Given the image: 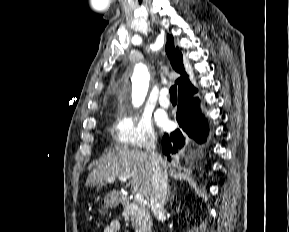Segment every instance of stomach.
Returning a JSON list of instances; mask_svg holds the SVG:
<instances>
[{
	"label": "stomach",
	"mask_w": 289,
	"mask_h": 232,
	"mask_svg": "<svg viewBox=\"0 0 289 232\" xmlns=\"http://www.w3.org/2000/svg\"><path fill=\"white\" fill-rule=\"evenodd\" d=\"M119 200L120 197L117 193L108 194L105 198L104 210L115 207L118 204Z\"/></svg>",
	"instance_id": "1"
}]
</instances>
